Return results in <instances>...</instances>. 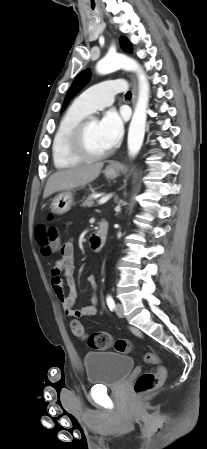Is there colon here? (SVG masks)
Returning <instances> with one entry per match:
<instances>
[{"instance_id":"obj_1","label":"colon","mask_w":207,"mask_h":449,"mask_svg":"<svg viewBox=\"0 0 207 449\" xmlns=\"http://www.w3.org/2000/svg\"><path fill=\"white\" fill-rule=\"evenodd\" d=\"M36 240L41 247L43 255H53L60 246V236L57 229L53 226L40 224L35 229ZM71 331L79 339H87L88 345L96 350H106L113 348L120 354H130L133 351V345L126 339H114L107 332H94L87 336L83 325L73 320L71 322ZM143 359L146 363L156 366L154 371H145L141 373L134 384V391L138 395H143L155 391L160 386L161 380L166 374V369L162 365L160 358L154 353L147 352Z\"/></svg>"}]
</instances>
